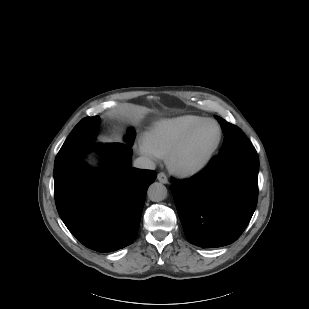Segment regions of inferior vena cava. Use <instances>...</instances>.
I'll use <instances>...</instances> for the list:
<instances>
[{"instance_id":"obj_1","label":"inferior vena cava","mask_w":309,"mask_h":309,"mask_svg":"<svg viewBox=\"0 0 309 309\" xmlns=\"http://www.w3.org/2000/svg\"><path fill=\"white\" fill-rule=\"evenodd\" d=\"M134 167L139 168V169L154 170L156 165L152 160H150L148 158L139 157V158L135 159Z\"/></svg>"}]
</instances>
